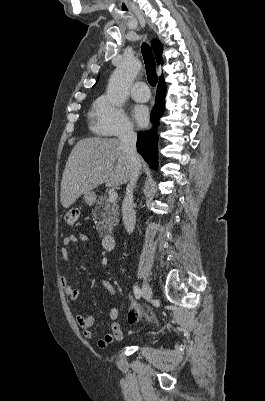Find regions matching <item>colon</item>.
<instances>
[{"mask_svg": "<svg viewBox=\"0 0 265 401\" xmlns=\"http://www.w3.org/2000/svg\"><path fill=\"white\" fill-rule=\"evenodd\" d=\"M78 220V211L77 210H69L66 215H65V221L68 225L73 226L76 224ZM128 319L130 321L131 324L136 323L137 319H138V313H136L135 311H132L129 315H128Z\"/></svg>", "mask_w": 265, "mask_h": 401, "instance_id": "colon-1", "label": "colon"}]
</instances>
